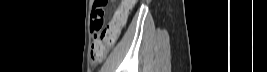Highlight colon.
<instances>
[{
	"label": "colon",
	"mask_w": 267,
	"mask_h": 72,
	"mask_svg": "<svg viewBox=\"0 0 267 72\" xmlns=\"http://www.w3.org/2000/svg\"><path fill=\"white\" fill-rule=\"evenodd\" d=\"M108 2V0H97L96 7L92 13V20L90 21V30L94 35L90 50L92 65H98L104 60L107 51L115 43L120 30L115 23H110L107 27L104 26L105 6ZM121 13L120 9L115 11V14Z\"/></svg>",
	"instance_id": "5ec220e1"
}]
</instances>
